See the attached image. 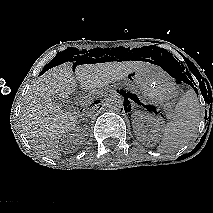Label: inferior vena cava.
Masks as SVG:
<instances>
[{"mask_svg":"<svg viewBox=\"0 0 213 213\" xmlns=\"http://www.w3.org/2000/svg\"><path fill=\"white\" fill-rule=\"evenodd\" d=\"M96 111L95 109L86 106L85 109L83 110V116L85 117V119L92 117L93 115H95Z\"/></svg>","mask_w":213,"mask_h":213,"instance_id":"inferior-vena-cava-1","label":"inferior vena cava"}]
</instances>
